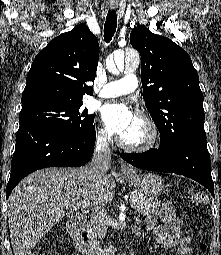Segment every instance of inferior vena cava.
Masks as SVG:
<instances>
[{
    "instance_id": "602c4592",
    "label": "inferior vena cava",
    "mask_w": 221,
    "mask_h": 255,
    "mask_svg": "<svg viewBox=\"0 0 221 255\" xmlns=\"http://www.w3.org/2000/svg\"><path fill=\"white\" fill-rule=\"evenodd\" d=\"M111 164V151L107 142L106 136L100 137L96 142L95 151L90 162L89 168L94 177L100 178L108 171ZM94 220L96 221L93 229L98 234L100 239L105 237V215L103 210H95Z\"/></svg>"
}]
</instances>
